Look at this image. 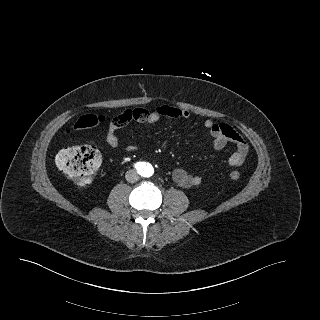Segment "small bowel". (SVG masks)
<instances>
[{"mask_svg": "<svg viewBox=\"0 0 320 320\" xmlns=\"http://www.w3.org/2000/svg\"><path fill=\"white\" fill-rule=\"evenodd\" d=\"M190 116L191 114L188 110L169 105H160L152 112L144 108L125 110L110 121L106 133V142L110 147L114 149L118 148L119 139L117 131L133 122L141 125H151L163 118L185 120ZM204 126L209 130L215 151L222 150L228 143L235 144L236 150L227 161L228 167L236 168L245 162L248 156V146L231 126L225 123H216L211 120H206ZM127 150L134 152L136 146L129 145L127 146ZM172 178L176 184L183 188L196 187L202 182L200 175L190 173L182 168L174 169Z\"/></svg>", "mask_w": 320, "mask_h": 320, "instance_id": "c3829d8e", "label": "small bowel"}]
</instances>
